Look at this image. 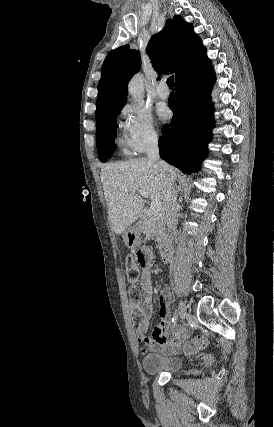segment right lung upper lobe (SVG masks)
I'll return each instance as SVG.
<instances>
[{
	"label": "right lung upper lobe",
	"instance_id": "1",
	"mask_svg": "<svg viewBox=\"0 0 274 427\" xmlns=\"http://www.w3.org/2000/svg\"><path fill=\"white\" fill-rule=\"evenodd\" d=\"M147 52L156 71L174 73L175 82L190 70L210 62L206 47L193 31V25L180 16L166 21L163 30L151 37ZM139 52L121 46L104 60L98 84L96 113L127 99V83L140 69Z\"/></svg>",
	"mask_w": 274,
	"mask_h": 427
}]
</instances>
